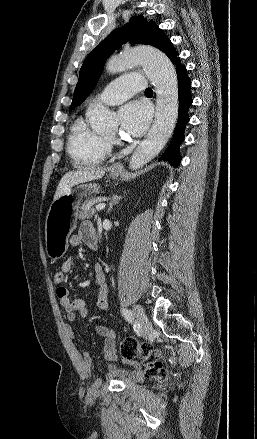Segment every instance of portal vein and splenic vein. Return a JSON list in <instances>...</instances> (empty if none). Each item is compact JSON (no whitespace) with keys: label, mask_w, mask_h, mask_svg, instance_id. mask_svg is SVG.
Wrapping results in <instances>:
<instances>
[{"label":"portal vein and splenic vein","mask_w":257,"mask_h":439,"mask_svg":"<svg viewBox=\"0 0 257 439\" xmlns=\"http://www.w3.org/2000/svg\"><path fill=\"white\" fill-rule=\"evenodd\" d=\"M106 204L105 203H99L96 205V210L100 211L103 210L105 208Z\"/></svg>","instance_id":"portal-vein-and-splenic-vein-1"}]
</instances>
